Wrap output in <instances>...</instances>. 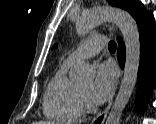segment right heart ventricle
Instances as JSON below:
<instances>
[{"label": "right heart ventricle", "mask_w": 156, "mask_h": 124, "mask_svg": "<svg viewBox=\"0 0 156 124\" xmlns=\"http://www.w3.org/2000/svg\"><path fill=\"white\" fill-rule=\"evenodd\" d=\"M70 65L62 64L48 83L43 96V113L46 118L69 124L82 115L83 102L79 87L71 82L66 71Z\"/></svg>", "instance_id": "e07e8e85"}]
</instances>
